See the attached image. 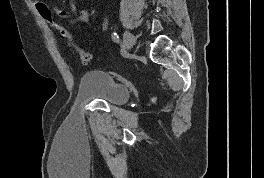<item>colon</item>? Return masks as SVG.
Listing matches in <instances>:
<instances>
[{
    "instance_id": "obj_1",
    "label": "colon",
    "mask_w": 264,
    "mask_h": 178,
    "mask_svg": "<svg viewBox=\"0 0 264 178\" xmlns=\"http://www.w3.org/2000/svg\"><path fill=\"white\" fill-rule=\"evenodd\" d=\"M34 4L36 7L37 12L39 13V15L41 16V18L53 29H55L56 31L59 32V34L68 39L69 44L71 49L73 50V52L75 53L77 59L79 60V62L82 65H87L89 64L92 59H93V55L90 52L84 51L82 49H80L79 47H77L71 40V36L69 34V32L66 30V28L54 18L53 12L50 9V7L40 1V0H34Z\"/></svg>"
}]
</instances>
